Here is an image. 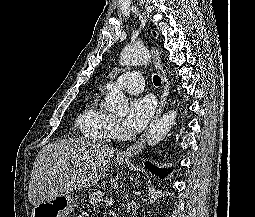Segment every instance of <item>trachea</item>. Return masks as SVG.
Masks as SVG:
<instances>
[{
    "label": "trachea",
    "instance_id": "obj_1",
    "mask_svg": "<svg viewBox=\"0 0 255 217\" xmlns=\"http://www.w3.org/2000/svg\"><path fill=\"white\" fill-rule=\"evenodd\" d=\"M153 83H154L155 86H160V84H161V78H160V76L155 75V76L153 77Z\"/></svg>",
    "mask_w": 255,
    "mask_h": 217
}]
</instances>
